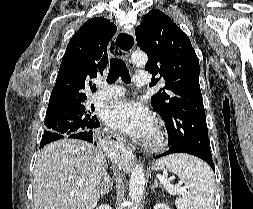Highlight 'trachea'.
Instances as JSON below:
<instances>
[{
	"mask_svg": "<svg viewBox=\"0 0 253 209\" xmlns=\"http://www.w3.org/2000/svg\"><path fill=\"white\" fill-rule=\"evenodd\" d=\"M119 76L123 82L127 84L131 82V77L129 75V71L126 67L125 62L122 59L112 58L110 60V70L107 76V83H114Z\"/></svg>",
	"mask_w": 253,
	"mask_h": 209,
	"instance_id": "1",
	"label": "trachea"
}]
</instances>
